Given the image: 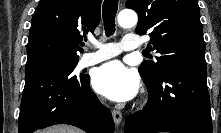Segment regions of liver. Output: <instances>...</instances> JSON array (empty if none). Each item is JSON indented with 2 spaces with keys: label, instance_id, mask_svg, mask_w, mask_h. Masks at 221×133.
Masks as SVG:
<instances>
[{
  "label": "liver",
  "instance_id": "6515ba94",
  "mask_svg": "<svg viewBox=\"0 0 221 133\" xmlns=\"http://www.w3.org/2000/svg\"><path fill=\"white\" fill-rule=\"evenodd\" d=\"M42 133H82V131L68 125H56L43 130Z\"/></svg>",
  "mask_w": 221,
  "mask_h": 133
}]
</instances>
